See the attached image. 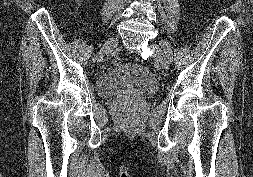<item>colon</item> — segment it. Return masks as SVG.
Here are the masks:
<instances>
[{
    "label": "colon",
    "instance_id": "obj_1",
    "mask_svg": "<svg viewBox=\"0 0 253 177\" xmlns=\"http://www.w3.org/2000/svg\"><path fill=\"white\" fill-rule=\"evenodd\" d=\"M121 59L119 58V57H115V58H113V60H112V63H113V65H115V66H118V65H120L121 64Z\"/></svg>",
    "mask_w": 253,
    "mask_h": 177
}]
</instances>
